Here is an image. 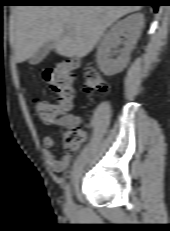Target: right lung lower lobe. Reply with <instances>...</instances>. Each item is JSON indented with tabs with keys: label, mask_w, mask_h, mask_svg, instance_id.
Instances as JSON below:
<instances>
[{
	"label": "right lung lower lobe",
	"mask_w": 170,
	"mask_h": 231,
	"mask_svg": "<svg viewBox=\"0 0 170 231\" xmlns=\"http://www.w3.org/2000/svg\"><path fill=\"white\" fill-rule=\"evenodd\" d=\"M33 5H150L157 12L160 0H30Z\"/></svg>",
	"instance_id": "98d812e1"
}]
</instances>
